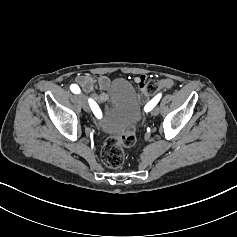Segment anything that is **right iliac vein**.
<instances>
[{"label":"right iliac vein","mask_w":237,"mask_h":237,"mask_svg":"<svg viewBox=\"0 0 237 237\" xmlns=\"http://www.w3.org/2000/svg\"><path fill=\"white\" fill-rule=\"evenodd\" d=\"M80 101H81V104H82V107H83L84 111L90 112V107H89V104H88L86 98L81 95L80 96Z\"/></svg>","instance_id":"63e3f726"}]
</instances>
